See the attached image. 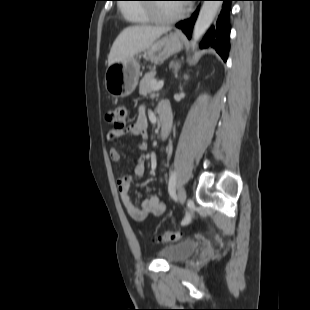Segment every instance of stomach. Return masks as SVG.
I'll return each mask as SVG.
<instances>
[{"label": "stomach", "instance_id": "obj_1", "mask_svg": "<svg viewBox=\"0 0 310 310\" xmlns=\"http://www.w3.org/2000/svg\"><path fill=\"white\" fill-rule=\"evenodd\" d=\"M182 48L181 37L178 33H170L153 42L145 51L147 60L159 63L179 52ZM140 73L137 57L125 61H117L109 65L105 72L106 90L114 97L129 96L135 90Z\"/></svg>", "mask_w": 310, "mask_h": 310}]
</instances>
